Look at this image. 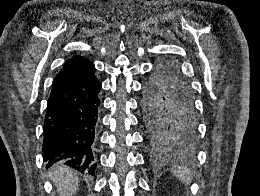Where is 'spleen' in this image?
I'll use <instances>...</instances> for the list:
<instances>
[{
    "mask_svg": "<svg viewBox=\"0 0 260 196\" xmlns=\"http://www.w3.org/2000/svg\"><path fill=\"white\" fill-rule=\"evenodd\" d=\"M174 176H177L181 182H191L193 176L191 174V170L186 168V166H175V170H173Z\"/></svg>",
    "mask_w": 260,
    "mask_h": 196,
    "instance_id": "1",
    "label": "spleen"
}]
</instances>
